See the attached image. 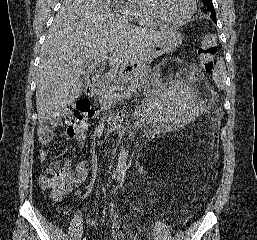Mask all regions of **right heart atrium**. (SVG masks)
Segmentation results:
<instances>
[{"label":"right heart atrium","instance_id":"1","mask_svg":"<svg viewBox=\"0 0 257 240\" xmlns=\"http://www.w3.org/2000/svg\"><path fill=\"white\" fill-rule=\"evenodd\" d=\"M127 1L128 0L118 3L116 6V9L121 16H123L124 18H126L128 20H131L132 14H131V11L127 7Z\"/></svg>","mask_w":257,"mask_h":240}]
</instances>
